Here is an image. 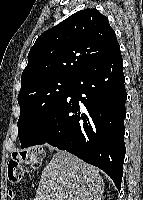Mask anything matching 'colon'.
Here are the masks:
<instances>
[{
	"label": "colon",
	"mask_w": 143,
	"mask_h": 200,
	"mask_svg": "<svg viewBox=\"0 0 143 200\" xmlns=\"http://www.w3.org/2000/svg\"><path fill=\"white\" fill-rule=\"evenodd\" d=\"M44 151L39 147H30L12 153L7 164V180L11 184L19 183L24 176V165L32 169H38L43 162ZM11 197L14 196L12 190L9 191Z\"/></svg>",
	"instance_id": "colon-1"
}]
</instances>
